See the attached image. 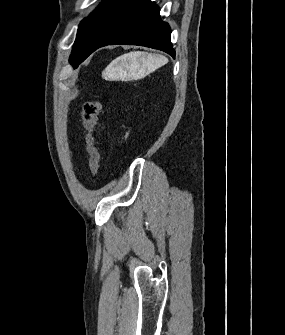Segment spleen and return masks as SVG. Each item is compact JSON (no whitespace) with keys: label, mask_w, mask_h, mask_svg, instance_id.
<instances>
[{"label":"spleen","mask_w":285,"mask_h":335,"mask_svg":"<svg viewBox=\"0 0 285 335\" xmlns=\"http://www.w3.org/2000/svg\"><path fill=\"white\" fill-rule=\"evenodd\" d=\"M128 60H131V68L132 70H139V68H148V70H152V68H161V66H165L168 60L165 56H151V54H146V52H130V54H126Z\"/></svg>","instance_id":"obj_1"}]
</instances>
